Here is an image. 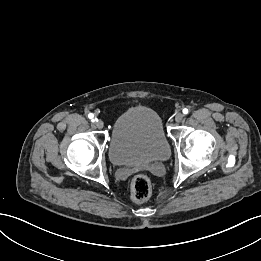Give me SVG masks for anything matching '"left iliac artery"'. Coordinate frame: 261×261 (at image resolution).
Instances as JSON below:
<instances>
[{"mask_svg":"<svg viewBox=\"0 0 261 261\" xmlns=\"http://www.w3.org/2000/svg\"><path fill=\"white\" fill-rule=\"evenodd\" d=\"M182 112L183 114H188L189 110L187 108H184Z\"/></svg>","mask_w":261,"mask_h":261,"instance_id":"left-iliac-artery-1","label":"left iliac artery"}]
</instances>
